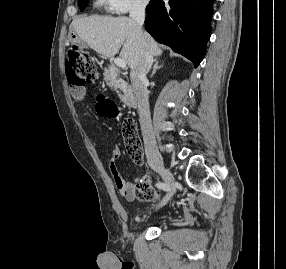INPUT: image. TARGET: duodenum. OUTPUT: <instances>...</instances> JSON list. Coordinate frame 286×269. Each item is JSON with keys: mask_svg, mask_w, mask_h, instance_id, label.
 Masks as SVG:
<instances>
[{"mask_svg": "<svg viewBox=\"0 0 286 269\" xmlns=\"http://www.w3.org/2000/svg\"><path fill=\"white\" fill-rule=\"evenodd\" d=\"M122 101L125 106L131 109H135L138 106L136 96L129 87H125L124 89Z\"/></svg>", "mask_w": 286, "mask_h": 269, "instance_id": "obj_1", "label": "duodenum"}]
</instances>
